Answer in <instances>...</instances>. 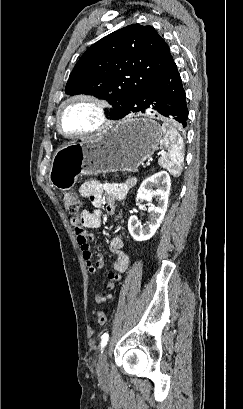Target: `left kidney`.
Returning a JSON list of instances; mask_svg holds the SVG:
<instances>
[{"mask_svg": "<svg viewBox=\"0 0 243 409\" xmlns=\"http://www.w3.org/2000/svg\"><path fill=\"white\" fill-rule=\"evenodd\" d=\"M154 187L157 190H153ZM170 187V176L165 171H160L142 182L137 192L136 201H148L150 219L147 225L143 226L137 216L133 215L129 218L128 230L134 240L145 241L156 233L167 211ZM153 198H156V205L151 203Z\"/></svg>", "mask_w": 243, "mask_h": 409, "instance_id": "1", "label": "left kidney"}]
</instances>
